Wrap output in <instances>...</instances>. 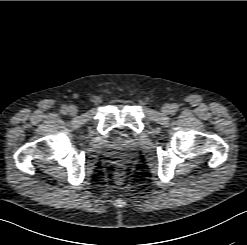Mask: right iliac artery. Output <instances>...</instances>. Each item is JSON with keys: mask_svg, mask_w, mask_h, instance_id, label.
Here are the masks:
<instances>
[{"mask_svg": "<svg viewBox=\"0 0 247 245\" xmlns=\"http://www.w3.org/2000/svg\"><path fill=\"white\" fill-rule=\"evenodd\" d=\"M68 112V107L66 105H63L61 107V113L66 114Z\"/></svg>", "mask_w": 247, "mask_h": 245, "instance_id": "right-iliac-artery-1", "label": "right iliac artery"}]
</instances>
